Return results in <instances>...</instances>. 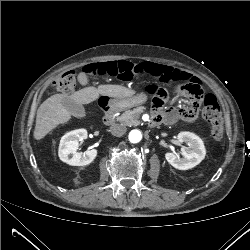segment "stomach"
Instances as JSON below:
<instances>
[{
  "label": "stomach",
  "instance_id": "0dacf381",
  "mask_svg": "<svg viewBox=\"0 0 250 250\" xmlns=\"http://www.w3.org/2000/svg\"><path fill=\"white\" fill-rule=\"evenodd\" d=\"M146 101H147L146 94L139 93L134 96L120 97V98L114 99L112 103L118 109H126V108H131L137 105L144 104Z\"/></svg>",
  "mask_w": 250,
  "mask_h": 250
}]
</instances>
